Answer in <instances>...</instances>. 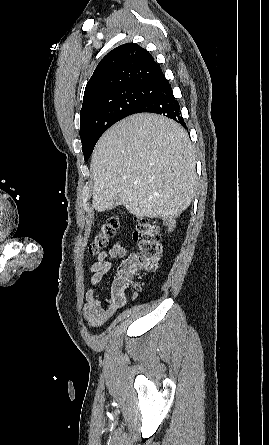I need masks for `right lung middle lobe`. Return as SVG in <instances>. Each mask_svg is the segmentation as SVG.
Wrapping results in <instances>:
<instances>
[{
    "label": "right lung middle lobe",
    "mask_w": 269,
    "mask_h": 445,
    "mask_svg": "<svg viewBox=\"0 0 269 445\" xmlns=\"http://www.w3.org/2000/svg\"><path fill=\"white\" fill-rule=\"evenodd\" d=\"M155 95L154 86H128L111 90L80 111V138L87 161L101 135L117 121L134 114Z\"/></svg>",
    "instance_id": "right-lung-middle-lobe-1"
}]
</instances>
